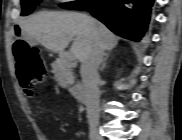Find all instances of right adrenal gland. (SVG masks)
<instances>
[{
    "mask_svg": "<svg viewBox=\"0 0 182 140\" xmlns=\"http://www.w3.org/2000/svg\"><path fill=\"white\" fill-rule=\"evenodd\" d=\"M108 56H109V53H105L104 54V58H103V61H102V64H101V68H100L101 70H104L105 69Z\"/></svg>",
    "mask_w": 182,
    "mask_h": 140,
    "instance_id": "1",
    "label": "right adrenal gland"
}]
</instances>
